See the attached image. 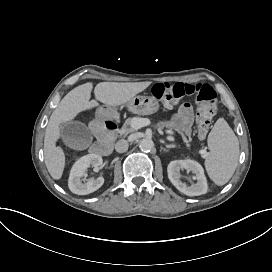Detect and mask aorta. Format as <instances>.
<instances>
[{
	"label": "aorta",
	"mask_w": 272,
	"mask_h": 272,
	"mask_svg": "<svg viewBox=\"0 0 272 272\" xmlns=\"http://www.w3.org/2000/svg\"><path fill=\"white\" fill-rule=\"evenodd\" d=\"M154 148V143L149 138H144L140 141V149L143 152H149Z\"/></svg>",
	"instance_id": "obj_1"
}]
</instances>
